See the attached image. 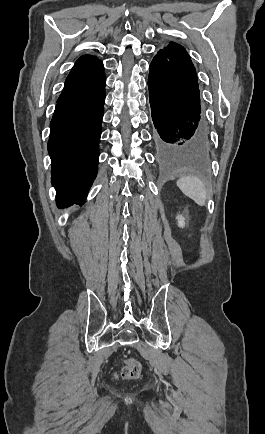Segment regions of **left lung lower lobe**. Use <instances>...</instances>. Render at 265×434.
I'll list each match as a JSON object with an SVG mask.
<instances>
[{
  "label": "left lung lower lobe",
  "instance_id": "obj_1",
  "mask_svg": "<svg viewBox=\"0 0 265 434\" xmlns=\"http://www.w3.org/2000/svg\"><path fill=\"white\" fill-rule=\"evenodd\" d=\"M152 141L163 154L200 155L210 149L200 90L174 62L157 54L149 68Z\"/></svg>",
  "mask_w": 265,
  "mask_h": 434
}]
</instances>
